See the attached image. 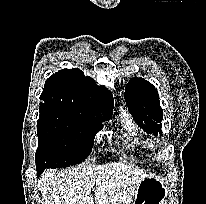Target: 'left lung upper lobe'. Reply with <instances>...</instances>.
<instances>
[{
	"mask_svg": "<svg viewBox=\"0 0 206 204\" xmlns=\"http://www.w3.org/2000/svg\"><path fill=\"white\" fill-rule=\"evenodd\" d=\"M125 101L138 125L146 132L162 136L163 110L157 89L143 78H132L125 89Z\"/></svg>",
	"mask_w": 206,
	"mask_h": 204,
	"instance_id": "obj_1",
	"label": "left lung upper lobe"
}]
</instances>
